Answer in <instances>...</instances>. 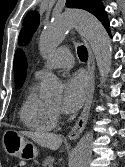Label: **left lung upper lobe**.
<instances>
[{
	"label": "left lung upper lobe",
	"instance_id": "1",
	"mask_svg": "<svg viewBox=\"0 0 125 167\" xmlns=\"http://www.w3.org/2000/svg\"><path fill=\"white\" fill-rule=\"evenodd\" d=\"M67 7L84 9L95 15L104 24L108 21L105 8L100 0H67ZM39 25V14L36 11L29 12L23 21V28L18 37V43H27Z\"/></svg>",
	"mask_w": 125,
	"mask_h": 167
}]
</instances>
